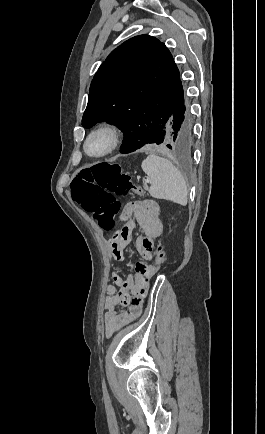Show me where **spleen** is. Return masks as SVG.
I'll use <instances>...</instances> for the list:
<instances>
[{"instance_id": "obj_1", "label": "spleen", "mask_w": 265, "mask_h": 434, "mask_svg": "<svg viewBox=\"0 0 265 434\" xmlns=\"http://www.w3.org/2000/svg\"><path fill=\"white\" fill-rule=\"evenodd\" d=\"M141 168L151 180L149 194L152 198L171 200L175 204L186 206L188 202L186 182L170 160L160 158L157 154H150L146 160H143Z\"/></svg>"}]
</instances>
